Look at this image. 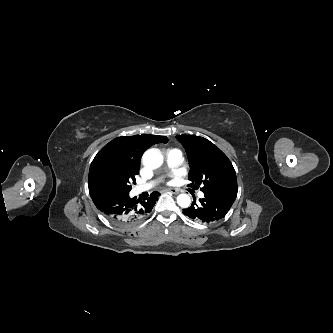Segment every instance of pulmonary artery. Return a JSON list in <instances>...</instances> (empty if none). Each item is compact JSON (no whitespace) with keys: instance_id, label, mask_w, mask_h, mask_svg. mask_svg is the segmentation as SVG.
<instances>
[{"instance_id":"e3ab8cb5","label":"pulmonary artery","mask_w":333,"mask_h":333,"mask_svg":"<svg viewBox=\"0 0 333 333\" xmlns=\"http://www.w3.org/2000/svg\"><path fill=\"white\" fill-rule=\"evenodd\" d=\"M182 159H183L182 152L179 149H169L166 152V163H167V166L169 168L178 167L182 163ZM154 185H155V181H152V182H149V183H146V184H142V185H138V186L135 187L134 193L135 194H140L144 191H147V190L151 189ZM198 197L203 198L204 193L199 192Z\"/></svg>"}]
</instances>
